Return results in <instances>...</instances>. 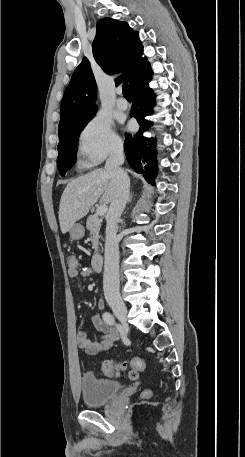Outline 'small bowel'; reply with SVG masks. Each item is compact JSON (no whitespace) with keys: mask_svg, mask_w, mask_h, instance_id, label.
I'll return each instance as SVG.
<instances>
[{"mask_svg":"<svg viewBox=\"0 0 245 457\" xmlns=\"http://www.w3.org/2000/svg\"><path fill=\"white\" fill-rule=\"evenodd\" d=\"M68 274L71 278L89 277L92 271L89 269H69ZM105 306L104 301L101 299L97 303L98 310L103 309ZM104 314V313H103ZM95 327L104 334L100 341L91 340L84 331H79L77 334V345L85 353L89 355H96L109 350L115 341L118 339V332L116 329L110 327L99 313L93 317Z\"/></svg>","mask_w":245,"mask_h":457,"instance_id":"1","label":"small bowel"}]
</instances>
